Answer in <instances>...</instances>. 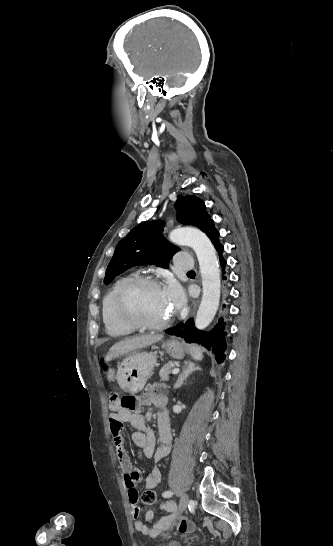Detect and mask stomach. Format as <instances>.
Masks as SVG:
<instances>
[{"label":"stomach","mask_w":333,"mask_h":546,"mask_svg":"<svg viewBox=\"0 0 333 546\" xmlns=\"http://www.w3.org/2000/svg\"><path fill=\"white\" fill-rule=\"evenodd\" d=\"M166 352L175 359L184 357L186 347L176 339H169L163 344ZM156 354L133 352L128 355L117 368V381L121 388L128 393L140 392L148 377L157 364Z\"/></svg>","instance_id":"stomach-1"}]
</instances>
